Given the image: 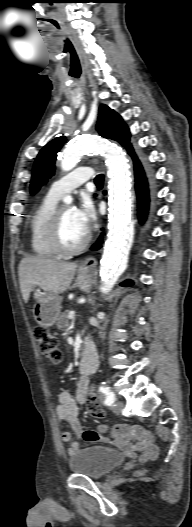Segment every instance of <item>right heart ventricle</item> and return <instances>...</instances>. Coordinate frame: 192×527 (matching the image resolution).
Wrapping results in <instances>:
<instances>
[{"label":"right heart ventricle","instance_id":"1","mask_svg":"<svg viewBox=\"0 0 192 527\" xmlns=\"http://www.w3.org/2000/svg\"><path fill=\"white\" fill-rule=\"evenodd\" d=\"M58 198L49 194L37 206L30 219V243L33 253L42 258L55 257L58 253L50 242L51 223L57 210Z\"/></svg>","mask_w":192,"mask_h":527}]
</instances>
